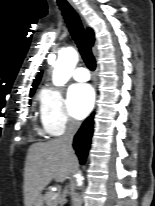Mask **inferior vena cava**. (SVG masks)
<instances>
[{
    "label": "inferior vena cava",
    "instance_id": "inferior-vena-cava-1",
    "mask_svg": "<svg viewBox=\"0 0 155 206\" xmlns=\"http://www.w3.org/2000/svg\"><path fill=\"white\" fill-rule=\"evenodd\" d=\"M79 127H80V122L70 118L67 123L66 131L64 135L60 138V141L62 142L66 150L69 152L73 151L72 150L73 137L77 132V130L79 129Z\"/></svg>",
    "mask_w": 155,
    "mask_h": 206
}]
</instances>
